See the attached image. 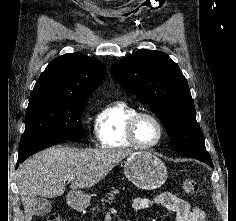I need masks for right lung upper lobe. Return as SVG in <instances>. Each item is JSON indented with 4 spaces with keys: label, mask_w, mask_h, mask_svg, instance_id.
Listing matches in <instances>:
<instances>
[{
    "label": "right lung upper lobe",
    "mask_w": 236,
    "mask_h": 221,
    "mask_svg": "<svg viewBox=\"0 0 236 221\" xmlns=\"http://www.w3.org/2000/svg\"><path fill=\"white\" fill-rule=\"evenodd\" d=\"M98 60L80 53H68L53 59L40 75L30 98H89L105 75Z\"/></svg>",
    "instance_id": "right-lung-upper-lobe-1"
}]
</instances>
